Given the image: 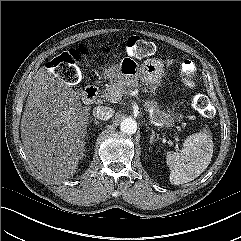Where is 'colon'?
<instances>
[{"label":"colon","instance_id":"colon-1","mask_svg":"<svg viewBox=\"0 0 241 241\" xmlns=\"http://www.w3.org/2000/svg\"><path fill=\"white\" fill-rule=\"evenodd\" d=\"M126 53L131 57H146L152 55L155 46L152 42L138 36H131L126 40ZM89 48L81 46L78 49H71L64 52L47 63V67L54 71L65 83L75 84L80 79L78 63L81 56L88 52ZM106 54L110 53L105 51ZM180 74L183 81L191 85L196 74V65L191 59H184L180 65ZM208 99L203 95H196L192 99L193 109L204 114L208 110Z\"/></svg>","mask_w":241,"mask_h":241}]
</instances>
